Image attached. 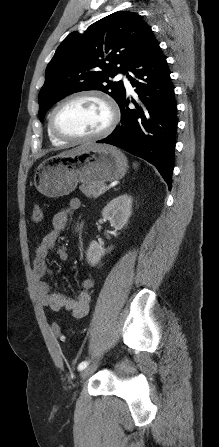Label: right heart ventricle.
<instances>
[{"label":"right heart ventricle","mask_w":219,"mask_h":447,"mask_svg":"<svg viewBox=\"0 0 219 447\" xmlns=\"http://www.w3.org/2000/svg\"><path fill=\"white\" fill-rule=\"evenodd\" d=\"M47 133L50 141L55 145H62L64 143L63 140L57 138L50 130L49 123L47 125Z\"/></svg>","instance_id":"right-heart-ventricle-1"}]
</instances>
